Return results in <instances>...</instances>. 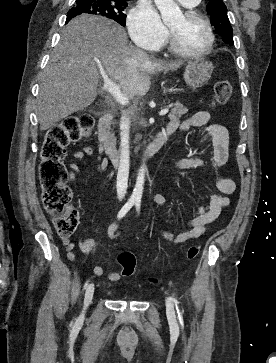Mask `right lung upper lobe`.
Returning <instances> with one entry per match:
<instances>
[{
  "mask_svg": "<svg viewBox=\"0 0 276 363\" xmlns=\"http://www.w3.org/2000/svg\"><path fill=\"white\" fill-rule=\"evenodd\" d=\"M112 1H123V2H126L127 0H112Z\"/></svg>",
  "mask_w": 276,
  "mask_h": 363,
  "instance_id": "obj_1",
  "label": "right lung upper lobe"
}]
</instances>
